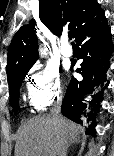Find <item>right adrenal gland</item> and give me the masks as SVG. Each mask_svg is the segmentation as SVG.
I'll return each mask as SVG.
<instances>
[{"mask_svg":"<svg viewBox=\"0 0 114 156\" xmlns=\"http://www.w3.org/2000/svg\"><path fill=\"white\" fill-rule=\"evenodd\" d=\"M81 140H80V137H76L74 138L68 145H67V148H66V151H68L69 147L75 143H79Z\"/></svg>","mask_w":114,"mask_h":156,"instance_id":"1","label":"right adrenal gland"}]
</instances>
